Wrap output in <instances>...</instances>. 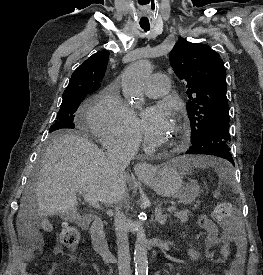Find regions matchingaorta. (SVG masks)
Returning <instances> with one entry per match:
<instances>
[{
    "label": "aorta",
    "mask_w": 263,
    "mask_h": 275,
    "mask_svg": "<svg viewBox=\"0 0 263 275\" xmlns=\"http://www.w3.org/2000/svg\"><path fill=\"white\" fill-rule=\"evenodd\" d=\"M152 65L148 60H139L130 64L122 75V90L129 101H137L143 96L144 83L151 73ZM146 214L141 213L134 248L136 275L148 274L147 238L143 223Z\"/></svg>",
    "instance_id": "762f6f07"
}]
</instances>
